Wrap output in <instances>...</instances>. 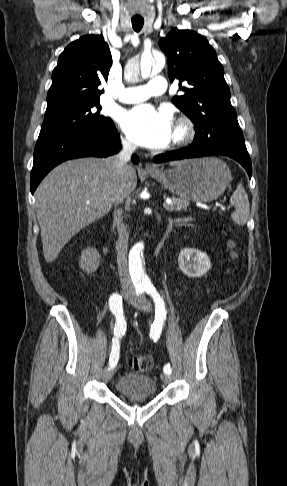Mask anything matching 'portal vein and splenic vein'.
I'll list each match as a JSON object with an SVG mask.
<instances>
[{"label": "portal vein and splenic vein", "instance_id": "1", "mask_svg": "<svg viewBox=\"0 0 287 486\" xmlns=\"http://www.w3.org/2000/svg\"><path fill=\"white\" fill-rule=\"evenodd\" d=\"M173 204L171 199H166V201L163 203V207L167 208Z\"/></svg>", "mask_w": 287, "mask_h": 486}]
</instances>
